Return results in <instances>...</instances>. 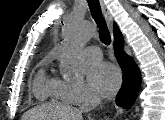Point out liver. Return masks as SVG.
Wrapping results in <instances>:
<instances>
[{
  "label": "liver",
  "mask_w": 165,
  "mask_h": 120,
  "mask_svg": "<svg viewBox=\"0 0 165 120\" xmlns=\"http://www.w3.org/2000/svg\"><path fill=\"white\" fill-rule=\"evenodd\" d=\"M54 116L60 120H83L81 112L69 105H59L55 108L50 106H41L29 110L23 116V120H42Z\"/></svg>",
  "instance_id": "6515ba94"
}]
</instances>
